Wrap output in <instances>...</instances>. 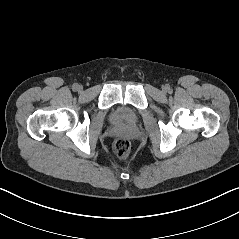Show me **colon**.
I'll use <instances>...</instances> for the list:
<instances>
[{
	"label": "colon",
	"instance_id": "5ec220e1",
	"mask_svg": "<svg viewBox=\"0 0 239 239\" xmlns=\"http://www.w3.org/2000/svg\"><path fill=\"white\" fill-rule=\"evenodd\" d=\"M112 149L117 157L123 158L130 151V142L123 137L117 138L113 142Z\"/></svg>",
	"mask_w": 239,
	"mask_h": 239
}]
</instances>
